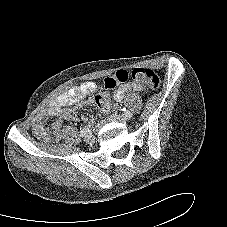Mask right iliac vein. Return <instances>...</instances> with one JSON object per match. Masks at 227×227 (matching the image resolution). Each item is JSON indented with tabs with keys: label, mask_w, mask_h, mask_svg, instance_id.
Instances as JSON below:
<instances>
[{
	"label": "right iliac vein",
	"mask_w": 227,
	"mask_h": 227,
	"mask_svg": "<svg viewBox=\"0 0 227 227\" xmlns=\"http://www.w3.org/2000/svg\"><path fill=\"white\" fill-rule=\"evenodd\" d=\"M95 140V137L92 133H89L85 136L84 141L88 144H92Z\"/></svg>",
	"instance_id": "right-iliac-vein-1"
}]
</instances>
